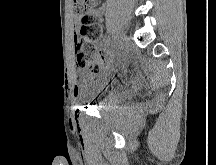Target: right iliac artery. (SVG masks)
I'll return each instance as SVG.
<instances>
[{
	"instance_id": "right-iliac-artery-1",
	"label": "right iliac artery",
	"mask_w": 216,
	"mask_h": 165,
	"mask_svg": "<svg viewBox=\"0 0 216 165\" xmlns=\"http://www.w3.org/2000/svg\"><path fill=\"white\" fill-rule=\"evenodd\" d=\"M109 41H110L111 44H114V43H115V40H114V39H111V38H110Z\"/></svg>"
}]
</instances>
